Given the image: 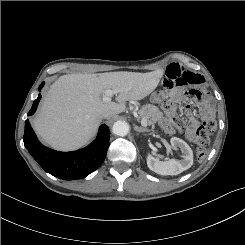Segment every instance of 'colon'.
Wrapping results in <instances>:
<instances>
[{
    "label": "colon",
    "mask_w": 245,
    "mask_h": 245,
    "mask_svg": "<svg viewBox=\"0 0 245 245\" xmlns=\"http://www.w3.org/2000/svg\"><path fill=\"white\" fill-rule=\"evenodd\" d=\"M164 110L172 117L173 126L176 129L184 127L183 121L176 114V102L173 99H166L163 103ZM216 129V122L211 119H205L202 124L191 134V139L197 144L196 156L198 161H203L207 156L206 146L209 144L210 136Z\"/></svg>",
    "instance_id": "1"
}]
</instances>
